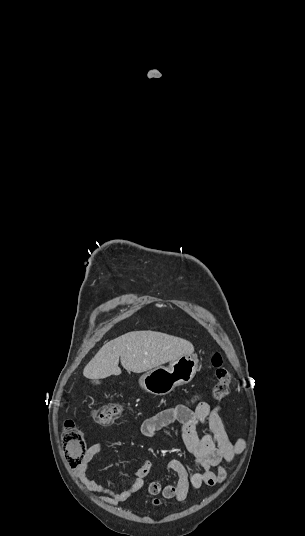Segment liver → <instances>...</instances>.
Listing matches in <instances>:
<instances>
[{"label":"liver","mask_w":305,"mask_h":536,"mask_svg":"<svg viewBox=\"0 0 305 536\" xmlns=\"http://www.w3.org/2000/svg\"><path fill=\"white\" fill-rule=\"evenodd\" d=\"M194 346L187 340L161 334V332H128L104 344L83 370L89 380L119 376L120 362L127 372L142 374L180 356L193 354Z\"/></svg>","instance_id":"liver-1"}]
</instances>
